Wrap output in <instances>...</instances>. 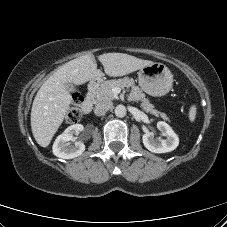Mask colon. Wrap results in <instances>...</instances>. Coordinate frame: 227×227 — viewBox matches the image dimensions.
<instances>
[{
  "label": "colon",
  "instance_id": "obj_1",
  "mask_svg": "<svg viewBox=\"0 0 227 227\" xmlns=\"http://www.w3.org/2000/svg\"><path fill=\"white\" fill-rule=\"evenodd\" d=\"M83 100V97L79 93L73 95L72 104L66 116L67 122L74 123L80 119Z\"/></svg>",
  "mask_w": 227,
  "mask_h": 227
}]
</instances>
